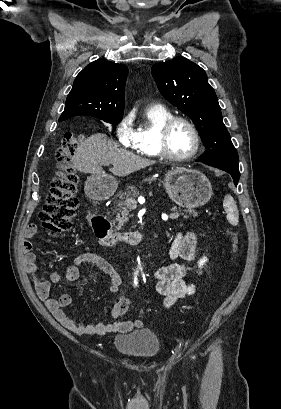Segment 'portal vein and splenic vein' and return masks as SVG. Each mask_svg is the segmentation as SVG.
Wrapping results in <instances>:
<instances>
[{
	"mask_svg": "<svg viewBox=\"0 0 281 409\" xmlns=\"http://www.w3.org/2000/svg\"><path fill=\"white\" fill-rule=\"evenodd\" d=\"M102 164H106V166H109L110 162H102ZM127 205L129 207H135L136 206V198L134 196H131L129 198V201L127 202ZM179 215L177 212H173L170 219H178Z\"/></svg>",
	"mask_w": 281,
	"mask_h": 409,
	"instance_id": "1",
	"label": "portal vein and splenic vein"
}]
</instances>
